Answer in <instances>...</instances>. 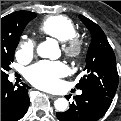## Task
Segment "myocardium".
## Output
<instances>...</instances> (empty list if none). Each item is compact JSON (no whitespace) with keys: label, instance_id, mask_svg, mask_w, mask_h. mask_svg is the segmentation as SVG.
Here are the masks:
<instances>
[{"label":"myocardium","instance_id":"1","mask_svg":"<svg viewBox=\"0 0 121 121\" xmlns=\"http://www.w3.org/2000/svg\"><path fill=\"white\" fill-rule=\"evenodd\" d=\"M62 49L64 54L73 60L79 59L84 51V43L83 41L78 37H72L69 40L65 41L62 44Z\"/></svg>","mask_w":121,"mask_h":121}]
</instances>
